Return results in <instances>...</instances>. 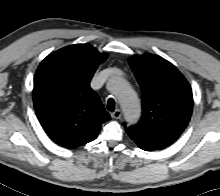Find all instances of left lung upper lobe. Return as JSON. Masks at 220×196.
I'll return each mask as SVG.
<instances>
[{
    "label": "left lung upper lobe",
    "mask_w": 220,
    "mask_h": 196,
    "mask_svg": "<svg viewBox=\"0 0 220 196\" xmlns=\"http://www.w3.org/2000/svg\"><path fill=\"white\" fill-rule=\"evenodd\" d=\"M142 89V117L130 132L154 150L175 142L189 123L192 90L178 69L164 58L145 54L129 60Z\"/></svg>",
    "instance_id": "5c2ea615"
}]
</instances>
